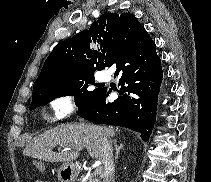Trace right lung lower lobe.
<instances>
[{"label": "right lung lower lobe", "instance_id": "1", "mask_svg": "<svg viewBox=\"0 0 211 182\" xmlns=\"http://www.w3.org/2000/svg\"><path fill=\"white\" fill-rule=\"evenodd\" d=\"M117 67L120 96L109 101L110 91L100 88L77 114L93 123L127 127L148 140L156 117L157 95L163 72L156 45L145 33L121 46L108 67Z\"/></svg>", "mask_w": 211, "mask_h": 182}]
</instances>
